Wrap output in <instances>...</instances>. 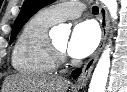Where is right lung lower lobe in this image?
Here are the masks:
<instances>
[{
    "mask_svg": "<svg viewBox=\"0 0 127 92\" xmlns=\"http://www.w3.org/2000/svg\"><path fill=\"white\" fill-rule=\"evenodd\" d=\"M80 72H81V69L74 70L73 73H72L73 77L79 76Z\"/></svg>",
    "mask_w": 127,
    "mask_h": 92,
    "instance_id": "1",
    "label": "right lung lower lobe"
}]
</instances>
